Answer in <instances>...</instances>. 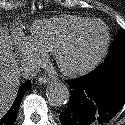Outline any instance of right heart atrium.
Returning a JSON list of instances; mask_svg holds the SVG:
<instances>
[{
	"mask_svg": "<svg viewBox=\"0 0 125 125\" xmlns=\"http://www.w3.org/2000/svg\"><path fill=\"white\" fill-rule=\"evenodd\" d=\"M17 49L21 58L29 65H36L43 57L42 53L32 42L28 36H20L17 42Z\"/></svg>",
	"mask_w": 125,
	"mask_h": 125,
	"instance_id": "d8ad5b80",
	"label": "right heart atrium"
}]
</instances>
